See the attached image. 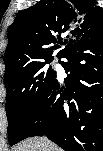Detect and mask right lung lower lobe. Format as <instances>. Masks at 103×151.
Instances as JSON below:
<instances>
[{"label":"right lung lower lobe","mask_w":103,"mask_h":151,"mask_svg":"<svg viewBox=\"0 0 103 151\" xmlns=\"http://www.w3.org/2000/svg\"><path fill=\"white\" fill-rule=\"evenodd\" d=\"M62 57L68 78L49 85L20 140L46 134L67 151L92 149L103 118L102 29L82 36Z\"/></svg>","instance_id":"98d812e1"}]
</instances>
